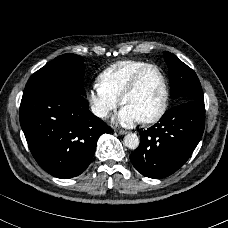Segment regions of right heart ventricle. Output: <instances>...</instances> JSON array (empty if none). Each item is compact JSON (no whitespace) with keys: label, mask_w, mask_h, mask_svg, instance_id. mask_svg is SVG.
<instances>
[{"label":"right heart ventricle","mask_w":228,"mask_h":228,"mask_svg":"<svg viewBox=\"0 0 228 228\" xmlns=\"http://www.w3.org/2000/svg\"><path fill=\"white\" fill-rule=\"evenodd\" d=\"M148 64L134 59L117 61L100 72L98 82L103 90L120 100L134 74Z\"/></svg>","instance_id":"1"}]
</instances>
